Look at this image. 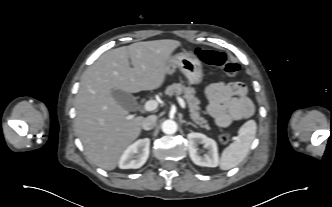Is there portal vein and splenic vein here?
Returning <instances> with one entry per match:
<instances>
[{
    "label": "portal vein and splenic vein",
    "instance_id": "portal-vein-and-splenic-vein-1",
    "mask_svg": "<svg viewBox=\"0 0 332 207\" xmlns=\"http://www.w3.org/2000/svg\"><path fill=\"white\" fill-rule=\"evenodd\" d=\"M178 103L180 104V106L185 109L186 104L184 102V100L181 97H177ZM158 107V102L155 100H149L144 104V110L149 112V111H153ZM130 118H133V115L129 116Z\"/></svg>",
    "mask_w": 332,
    "mask_h": 207
}]
</instances>
